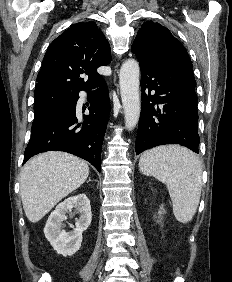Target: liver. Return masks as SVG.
<instances>
[{"label":"liver","instance_id":"1","mask_svg":"<svg viewBox=\"0 0 232 282\" xmlns=\"http://www.w3.org/2000/svg\"><path fill=\"white\" fill-rule=\"evenodd\" d=\"M89 175L88 164L71 154L50 151L23 167L20 194L26 217L41 220L61 199L78 189Z\"/></svg>","mask_w":232,"mask_h":282}]
</instances>
